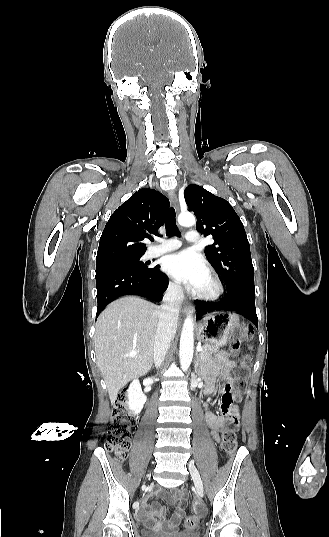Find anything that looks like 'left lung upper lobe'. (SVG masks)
Wrapping results in <instances>:
<instances>
[{
  "mask_svg": "<svg viewBox=\"0 0 329 537\" xmlns=\"http://www.w3.org/2000/svg\"><path fill=\"white\" fill-rule=\"evenodd\" d=\"M184 197L197 218L196 229L215 240L205 248V255L221 275L227 291L255 289L249 242L233 207L225 199L195 184L184 190Z\"/></svg>",
  "mask_w": 329,
  "mask_h": 537,
  "instance_id": "left-lung-upper-lobe-1",
  "label": "left lung upper lobe"
}]
</instances>
